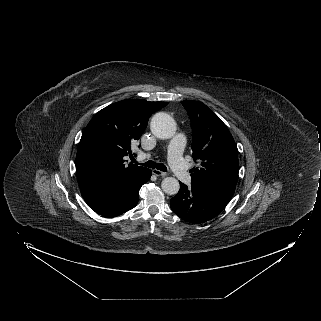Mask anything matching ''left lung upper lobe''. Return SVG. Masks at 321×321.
Segmentation results:
<instances>
[{
	"mask_svg": "<svg viewBox=\"0 0 321 321\" xmlns=\"http://www.w3.org/2000/svg\"><path fill=\"white\" fill-rule=\"evenodd\" d=\"M193 130L192 157L200 166L193 168V182L236 186L239 163L236 143L222 120L205 104L184 100Z\"/></svg>",
	"mask_w": 321,
	"mask_h": 321,
	"instance_id": "obj_1",
	"label": "left lung upper lobe"
}]
</instances>
